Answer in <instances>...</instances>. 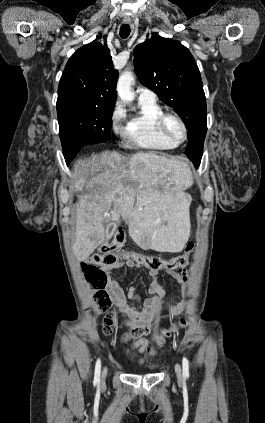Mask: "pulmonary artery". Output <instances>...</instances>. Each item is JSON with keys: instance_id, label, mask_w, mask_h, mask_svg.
Listing matches in <instances>:
<instances>
[{"instance_id": "e3ab8cb5", "label": "pulmonary artery", "mask_w": 265, "mask_h": 423, "mask_svg": "<svg viewBox=\"0 0 265 423\" xmlns=\"http://www.w3.org/2000/svg\"><path fill=\"white\" fill-rule=\"evenodd\" d=\"M138 99L139 100H146V101H154L156 100L155 93L148 89V88H138L137 89Z\"/></svg>"}]
</instances>
